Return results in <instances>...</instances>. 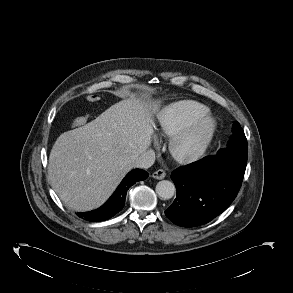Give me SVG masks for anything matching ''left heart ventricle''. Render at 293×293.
<instances>
[{"instance_id":"obj_1","label":"left heart ventricle","mask_w":293,"mask_h":293,"mask_svg":"<svg viewBox=\"0 0 293 293\" xmlns=\"http://www.w3.org/2000/svg\"><path fill=\"white\" fill-rule=\"evenodd\" d=\"M198 140V136L194 135L192 137H190L189 139H187L186 141H184L181 145H180V151L182 152H189L191 151L194 146L196 145Z\"/></svg>"}]
</instances>
